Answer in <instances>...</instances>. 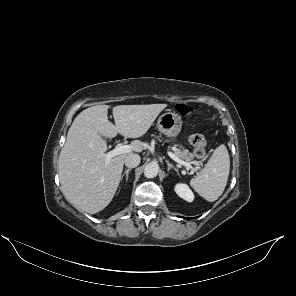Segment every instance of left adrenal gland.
I'll list each match as a JSON object with an SVG mask.
<instances>
[{
    "label": "left adrenal gland",
    "mask_w": 296,
    "mask_h": 296,
    "mask_svg": "<svg viewBox=\"0 0 296 296\" xmlns=\"http://www.w3.org/2000/svg\"><path fill=\"white\" fill-rule=\"evenodd\" d=\"M166 163L168 165V171H170V169H174L179 174L178 169L174 167L168 160H166Z\"/></svg>",
    "instance_id": "obj_1"
}]
</instances>
